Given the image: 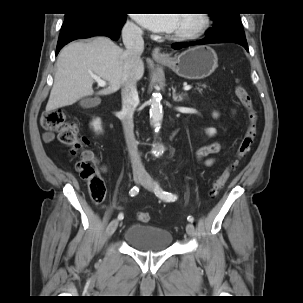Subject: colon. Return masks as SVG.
<instances>
[{"instance_id":"obj_1","label":"colon","mask_w":303,"mask_h":303,"mask_svg":"<svg viewBox=\"0 0 303 303\" xmlns=\"http://www.w3.org/2000/svg\"><path fill=\"white\" fill-rule=\"evenodd\" d=\"M235 94L243 107L247 110L249 125L243 136L235 156L229 166L216 178L213 183L211 194L216 195L228 181L230 174L250 152L258 131V116L253 107V102L247 90L238 82L235 85ZM41 126L45 130L54 132L59 140L67 145L73 154L80 156L77 162V170L88 181L91 199L95 203H101L105 198V183L99 175L97 160L93 153L84 149V142L78 136L77 127L66 119L65 113L60 109L46 111L41 118ZM137 218L141 222H148V212H138Z\"/></svg>"}]
</instances>
